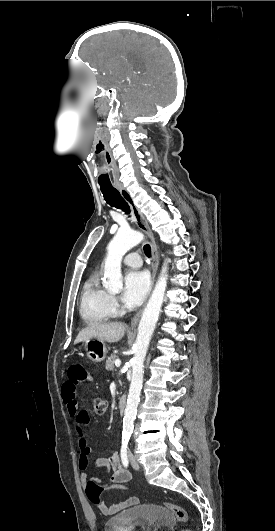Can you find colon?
Here are the masks:
<instances>
[{
	"mask_svg": "<svg viewBox=\"0 0 275 531\" xmlns=\"http://www.w3.org/2000/svg\"><path fill=\"white\" fill-rule=\"evenodd\" d=\"M93 408H94V412L97 415H103L107 410V404L103 399L95 398L93 400ZM86 489L87 490L85 491V494L89 497L91 501H94L93 503L94 508L99 509L102 506L101 501L98 500L100 491L106 492L109 490H114V491L123 490L124 486L113 484V483H103V484L89 483L87 484ZM165 507L176 520L182 523H185L188 521V514L184 508L174 505V504H166Z\"/></svg>",
	"mask_w": 275,
	"mask_h": 531,
	"instance_id": "1",
	"label": "colon"
}]
</instances>
